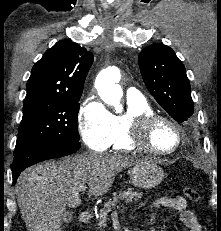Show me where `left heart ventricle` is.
<instances>
[{
  "mask_svg": "<svg viewBox=\"0 0 221 231\" xmlns=\"http://www.w3.org/2000/svg\"><path fill=\"white\" fill-rule=\"evenodd\" d=\"M177 141L175 131L166 123H159L154 127L151 134V142L157 150H169Z\"/></svg>",
  "mask_w": 221,
  "mask_h": 231,
  "instance_id": "obj_1",
  "label": "left heart ventricle"
}]
</instances>
